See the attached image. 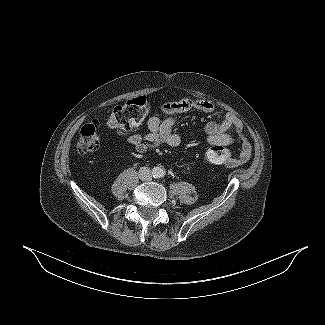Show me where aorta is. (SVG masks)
I'll return each instance as SVG.
<instances>
[{
	"mask_svg": "<svg viewBox=\"0 0 325 325\" xmlns=\"http://www.w3.org/2000/svg\"><path fill=\"white\" fill-rule=\"evenodd\" d=\"M154 175L157 178H161L165 175V170L162 167H155L154 168Z\"/></svg>",
	"mask_w": 325,
	"mask_h": 325,
	"instance_id": "762f6f07",
	"label": "aorta"
}]
</instances>
